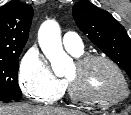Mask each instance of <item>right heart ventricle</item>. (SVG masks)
I'll list each match as a JSON object with an SVG mask.
<instances>
[{
    "label": "right heart ventricle",
    "mask_w": 131,
    "mask_h": 115,
    "mask_svg": "<svg viewBox=\"0 0 131 115\" xmlns=\"http://www.w3.org/2000/svg\"><path fill=\"white\" fill-rule=\"evenodd\" d=\"M73 54V53H72ZM83 54V52L79 53V54H73L75 57H81Z\"/></svg>",
    "instance_id": "right-heart-ventricle-1"
}]
</instances>
